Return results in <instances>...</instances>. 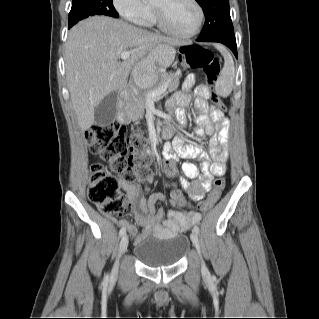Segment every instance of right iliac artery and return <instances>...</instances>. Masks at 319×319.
Masks as SVG:
<instances>
[{"mask_svg":"<svg viewBox=\"0 0 319 319\" xmlns=\"http://www.w3.org/2000/svg\"><path fill=\"white\" fill-rule=\"evenodd\" d=\"M126 233V229L125 228H121L120 231H119V235L120 236H123L124 234ZM109 281V275L107 274L105 277H104V282H108Z\"/></svg>","mask_w":319,"mask_h":319,"instance_id":"obj_1","label":"right iliac artery"}]
</instances>
